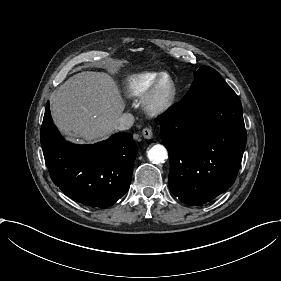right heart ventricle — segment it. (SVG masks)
Instances as JSON below:
<instances>
[{"mask_svg": "<svg viewBox=\"0 0 281 281\" xmlns=\"http://www.w3.org/2000/svg\"><path fill=\"white\" fill-rule=\"evenodd\" d=\"M161 75L158 72H145L127 78L122 84V92L129 98H138L146 93Z\"/></svg>", "mask_w": 281, "mask_h": 281, "instance_id": "e07e8e85", "label": "right heart ventricle"}]
</instances>
